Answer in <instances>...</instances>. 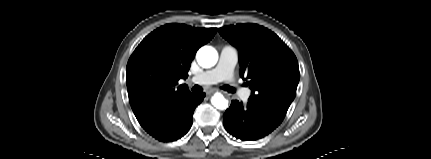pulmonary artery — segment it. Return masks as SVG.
Wrapping results in <instances>:
<instances>
[{
	"label": "pulmonary artery",
	"instance_id": "1",
	"mask_svg": "<svg viewBox=\"0 0 431 159\" xmlns=\"http://www.w3.org/2000/svg\"><path fill=\"white\" fill-rule=\"evenodd\" d=\"M239 54L235 47L225 45L221 51L218 63L215 67L195 75L192 81L196 84L210 85L222 81H232L234 69L238 63ZM240 98L247 101L251 91L246 88H237Z\"/></svg>",
	"mask_w": 431,
	"mask_h": 159
}]
</instances>
